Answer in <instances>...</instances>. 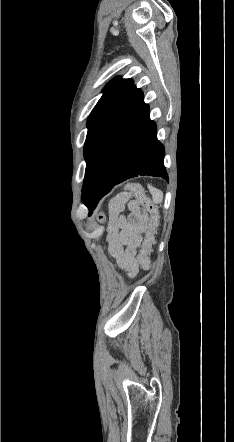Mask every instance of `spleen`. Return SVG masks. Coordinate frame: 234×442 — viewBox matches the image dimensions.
<instances>
[{
  "label": "spleen",
  "instance_id": "3e777b00",
  "mask_svg": "<svg viewBox=\"0 0 234 442\" xmlns=\"http://www.w3.org/2000/svg\"><path fill=\"white\" fill-rule=\"evenodd\" d=\"M150 193L152 195L153 201L157 204L162 203L163 201V193L161 190L151 187Z\"/></svg>",
  "mask_w": 234,
  "mask_h": 442
}]
</instances>
